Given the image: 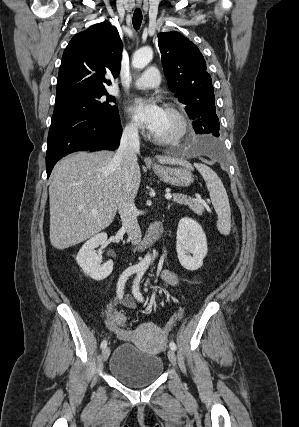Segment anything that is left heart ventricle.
<instances>
[{"instance_id":"obj_1","label":"left heart ventricle","mask_w":299,"mask_h":427,"mask_svg":"<svg viewBox=\"0 0 299 427\" xmlns=\"http://www.w3.org/2000/svg\"><path fill=\"white\" fill-rule=\"evenodd\" d=\"M177 130V122L175 118L164 110L162 119L154 131V134L167 136L173 134Z\"/></svg>"}]
</instances>
